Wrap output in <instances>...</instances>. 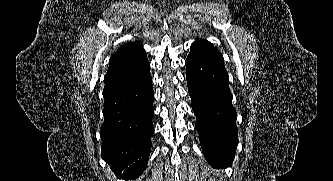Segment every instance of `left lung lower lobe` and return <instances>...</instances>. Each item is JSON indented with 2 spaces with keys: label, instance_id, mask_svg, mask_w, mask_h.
Segmentation results:
<instances>
[{
  "label": "left lung lower lobe",
  "instance_id": "left-lung-lower-lobe-1",
  "mask_svg": "<svg viewBox=\"0 0 333 181\" xmlns=\"http://www.w3.org/2000/svg\"><path fill=\"white\" fill-rule=\"evenodd\" d=\"M186 67L203 154L214 167L231 166L238 143L237 113L224 60L192 45Z\"/></svg>",
  "mask_w": 333,
  "mask_h": 181
}]
</instances>
